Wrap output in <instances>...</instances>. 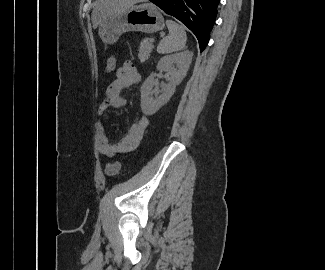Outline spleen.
<instances>
[{
    "mask_svg": "<svg viewBox=\"0 0 325 270\" xmlns=\"http://www.w3.org/2000/svg\"><path fill=\"white\" fill-rule=\"evenodd\" d=\"M166 25L169 35L161 40L157 47V52L165 54L183 50L187 41L184 27L172 20H167Z\"/></svg>",
    "mask_w": 325,
    "mask_h": 270,
    "instance_id": "obj_1",
    "label": "spleen"
}]
</instances>
